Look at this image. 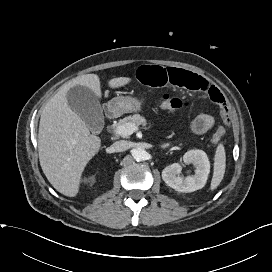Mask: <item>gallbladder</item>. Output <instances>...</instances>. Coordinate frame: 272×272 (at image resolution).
Wrapping results in <instances>:
<instances>
[{"mask_svg": "<svg viewBox=\"0 0 272 272\" xmlns=\"http://www.w3.org/2000/svg\"><path fill=\"white\" fill-rule=\"evenodd\" d=\"M68 105L78 114L94 133L101 132L104 115L95 93L82 85H75L67 92Z\"/></svg>", "mask_w": 272, "mask_h": 272, "instance_id": "obj_1", "label": "gallbladder"}]
</instances>
